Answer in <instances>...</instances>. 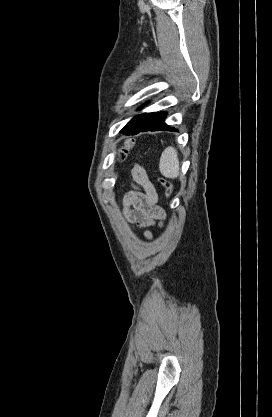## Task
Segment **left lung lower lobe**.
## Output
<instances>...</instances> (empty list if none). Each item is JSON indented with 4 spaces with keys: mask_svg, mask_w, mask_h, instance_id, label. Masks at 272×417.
Instances as JSON below:
<instances>
[{
    "mask_svg": "<svg viewBox=\"0 0 272 417\" xmlns=\"http://www.w3.org/2000/svg\"><path fill=\"white\" fill-rule=\"evenodd\" d=\"M165 118H166V112L154 113L151 117H149V119L145 122V124L142 127L132 131L128 135H131V134L135 135L143 131H157V130L176 131L174 128L169 127L164 122Z\"/></svg>",
    "mask_w": 272,
    "mask_h": 417,
    "instance_id": "0a47b994",
    "label": "left lung lower lobe"
}]
</instances>
